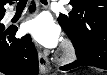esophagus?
<instances>
[{"label":"esophagus","mask_w":107,"mask_h":75,"mask_svg":"<svg viewBox=\"0 0 107 75\" xmlns=\"http://www.w3.org/2000/svg\"><path fill=\"white\" fill-rule=\"evenodd\" d=\"M38 61H39V69L42 74L49 71V61L48 58L42 53L38 52Z\"/></svg>","instance_id":"obj_1"}]
</instances>
